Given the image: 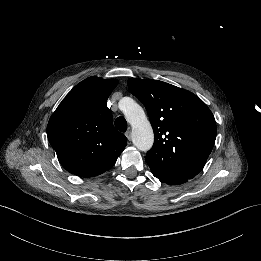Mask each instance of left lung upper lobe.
Listing matches in <instances>:
<instances>
[{
    "label": "left lung upper lobe",
    "instance_id": "left-lung-upper-lobe-1",
    "mask_svg": "<svg viewBox=\"0 0 261 261\" xmlns=\"http://www.w3.org/2000/svg\"><path fill=\"white\" fill-rule=\"evenodd\" d=\"M130 92L146 107L154 131V145L145 156L149 167L192 179L212 151L216 122L195 94L152 79L128 80Z\"/></svg>",
    "mask_w": 261,
    "mask_h": 261
}]
</instances>
